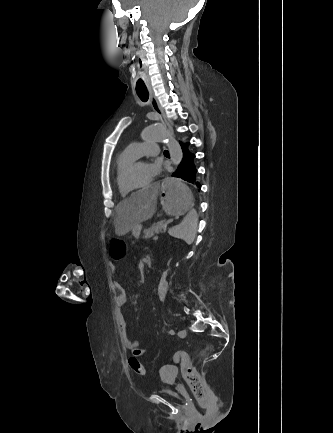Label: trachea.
<instances>
[{"label": "trachea", "instance_id": "3493384b", "mask_svg": "<svg viewBox=\"0 0 333 433\" xmlns=\"http://www.w3.org/2000/svg\"><path fill=\"white\" fill-rule=\"evenodd\" d=\"M136 92H137L138 96L140 97V99L143 102L148 101V99H149V93H148V90H147L146 87L136 86ZM164 154H169V152L167 150H165Z\"/></svg>", "mask_w": 333, "mask_h": 433}]
</instances>
